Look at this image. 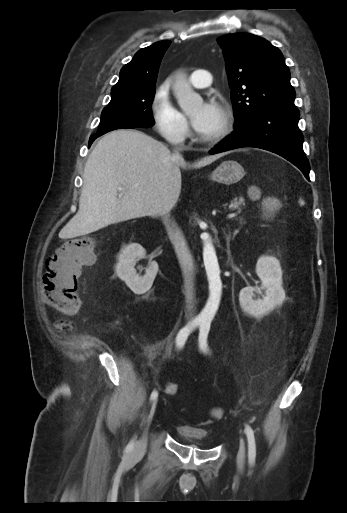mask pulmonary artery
I'll list each match as a JSON object with an SVG mask.
<instances>
[{"instance_id": "e3ab8cb5", "label": "pulmonary artery", "mask_w": 347, "mask_h": 513, "mask_svg": "<svg viewBox=\"0 0 347 513\" xmlns=\"http://www.w3.org/2000/svg\"><path fill=\"white\" fill-rule=\"evenodd\" d=\"M212 80L211 73L207 70H195L190 76L192 85L196 88H205L210 85Z\"/></svg>"}]
</instances>
